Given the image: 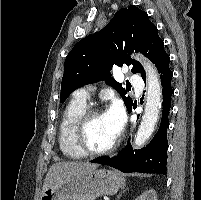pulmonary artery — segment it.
<instances>
[{"instance_id": "obj_1", "label": "pulmonary artery", "mask_w": 201, "mask_h": 200, "mask_svg": "<svg viewBox=\"0 0 201 200\" xmlns=\"http://www.w3.org/2000/svg\"><path fill=\"white\" fill-rule=\"evenodd\" d=\"M130 81L136 87L143 86L142 78L139 74H132L130 76ZM89 93H90L89 89H80L75 92V97L86 101L89 97Z\"/></svg>"}]
</instances>
